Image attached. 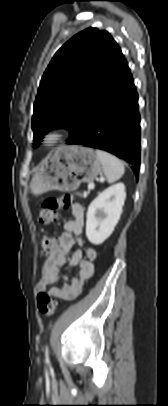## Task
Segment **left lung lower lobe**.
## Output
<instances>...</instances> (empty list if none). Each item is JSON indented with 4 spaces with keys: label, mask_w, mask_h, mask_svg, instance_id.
Here are the masks:
<instances>
[{
    "label": "left lung lower lobe",
    "mask_w": 168,
    "mask_h": 406,
    "mask_svg": "<svg viewBox=\"0 0 168 406\" xmlns=\"http://www.w3.org/2000/svg\"><path fill=\"white\" fill-rule=\"evenodd\" d=\"M67 144L105 150L132 165L136 177L140 167V115L138 95L126 59L93 105L82 130Z\"/></svg>",
    "instance_id": "1"
}]
</instances>
